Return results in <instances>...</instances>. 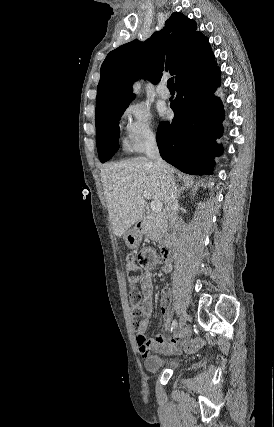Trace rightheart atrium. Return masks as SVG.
Instances as JSON below:
<instances>
[{
	"label": "right heart atrium",
	"mask_w": 274,
	"mask_h": 427,
	"mask_svg": "<svg viewBox=\"0 0 274 427\" xmlns=\"http://www.w3.org/2000/svg\"><path fill=\"white\" fill-rule=\"evenodd\" d=\"M123 132L127 147L134 152H142L155 143L157 134L150 110L142 104L127 108L123 114Z\"/></svg>",
	"instance_id": "obj_1"
}]
</instances>
